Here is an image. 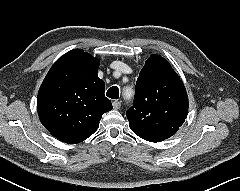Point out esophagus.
<instances>
[{
  "instance_id": "esophagus-1",
  "label": "esophagus",
  "mask_w": 240,
  "mask_h": 191,
  "mask_svg": "<svg viewBox=\"0 0 240 191\" xmlns=\"http://www.w3.org/2000/svg\"><path fill=\"white\" fill-rule=\"evenodd\" d=\"M112 105H113V108L116 110L120 109L121 107V103L119 101H114Z\"/></svg>"
}]
</instances>
